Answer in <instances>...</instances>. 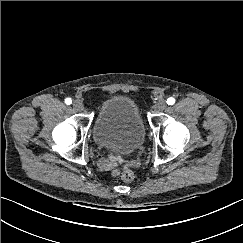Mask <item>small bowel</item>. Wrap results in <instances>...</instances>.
I'll return each mask as SVG.
<instances>
[{
    "label": "small bowel",
    "mask_w": 243,
    "mask_h": 243,
    "mask_svg": "<svg viewBox=\"0 0 243 243\" xmlns=\"http://www.w3.org/2000/svg\"><path fill=\"white\" fill-rule=\"evenodd\" d=\"M121 162V159L115 155H109L108 159L102 163V168L105 171L111 172L113 175H117L119 170L117 168L118 164Z\"/></svg>",
    "instance_id": "1"
}]
</instances>
